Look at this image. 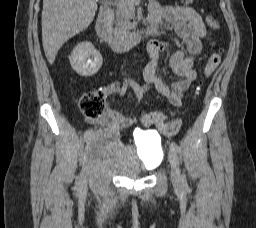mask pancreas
Returning a JSON list of instances; mask_svg holds the SVG:
<instances>
[{"label": "pancreas", "mask_w": 256, "mask_h": 228, "mask_svg": "<svg viewBox=\"0 0 256 228\" xmlns=\"http://www.w3.org/2000/svg\"><path fill=\"white\" fill-rule=\"evenodd\" d=\"M117 30L118 32H126L136 27L131 20L135 19V3L120 1L117 5Z\"/></svg>", "instance_id": "cf45deb5"}]
</instances>
